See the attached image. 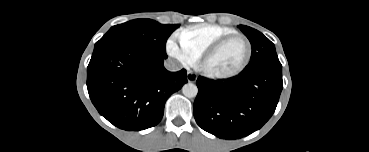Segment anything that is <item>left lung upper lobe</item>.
I'll use <instances>...</instances> for the list:
<instances>
[{
	"instance_id": "obj_1",
	"label": "left lung upper lobe",
	"mask_w": 369,
	"mask_h": 152,
	"mask_svg": "<svg viewBox=\"0 0 369 152\" xmlns=\"http://www.w3.org/2000/svg\"><path fill=\"white\" fill-rule=\"evenodd\" d=\"M239 28L249 39L252 46L250 62L243 71L247 72L261 67H282L275 46L269 39L248 26L240 25Z\"/></svg>"
}]
</instances>
